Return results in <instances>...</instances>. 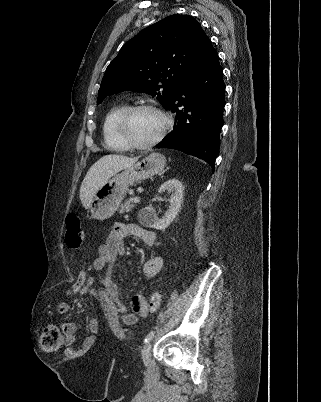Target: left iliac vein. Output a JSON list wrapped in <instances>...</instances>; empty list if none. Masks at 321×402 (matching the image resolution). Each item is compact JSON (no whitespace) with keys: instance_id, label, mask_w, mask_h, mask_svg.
<instances>
[{"instance_id":"obj_1","label":"left iliac vein","mask_w":321,"mask_h":402,"mask_svg":"<svg viewBox=\"0 0 321 402\" xmlns=\"http://www.w3.org/2000/svg\"><path fill=\"white\" fill-rule=\"evenodd\" d=\"M150 351H151V342H147L141 352V357L144 364H148L150 361Z\"/></svg>"}]
</instances>
